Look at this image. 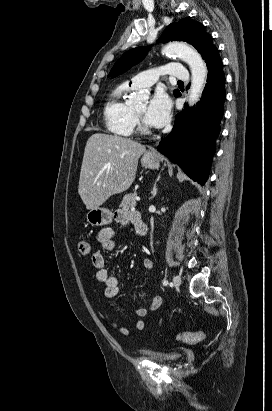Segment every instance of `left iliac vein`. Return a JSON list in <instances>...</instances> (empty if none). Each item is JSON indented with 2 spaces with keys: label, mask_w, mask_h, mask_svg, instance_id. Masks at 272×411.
I'll return each mask as SVG.
<instances>
[{
  "label": "left iliac vein",
  "mask_w": 272,
  "mask_h": 411,
  "mask_svg": "<svg viewBox=\"0 0 272 411\" xmlns=\"http://www.w3.org/2000/svg\"><path fill=\"white\" fill-rule=\"evenodd\" d=\"M173 285L179 287L181 285V278L179 276H174Z\"/></svg>",
  "instance_id": "obj_1"
}]
</instances>
